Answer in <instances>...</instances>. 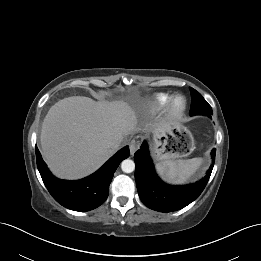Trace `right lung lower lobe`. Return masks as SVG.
Here are the masks:
<instances>
[{
  "instance_id": "1",
  "label": "right lung lower lobe",
  "mask_w": 261,
  "mask_h": 261,
  "mask_svg": "<svg viewBox=\"0 0 261 261\" xmlns=\"http://www.w3.org/2000/svg\"><path fill=\"white\" fill-rule=\"evenodd\" d=\"M129 155V147L126 146L94 174L77 181H66L50 173L36 148L37 167L46 188L59 204L75 211H90L105 202L115 170Z\"/></svg>"
}]
</instances>
